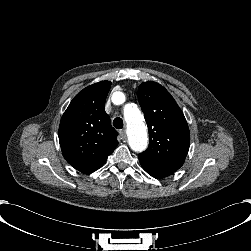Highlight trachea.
Masks as SVG:
<instances>
[{
  "label": "trachea",
  "mask_w": 251,
  "mask_h": 251,
  "mask_svg": "<svg viewBox=\"0 0 251 251\" xmlns=\"http://www.w3.org/2000/svg\"><path fill=\"white\" fill-rule=\"evenodd\" d=\"M113 126L116 128V129H122L124 124H123V120L119 117L115 118L113 120Z\"/></svg>",
  "instance_id": "3493384b"
}]
</instances>
